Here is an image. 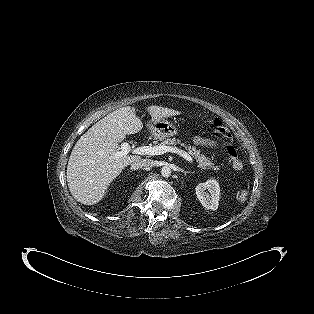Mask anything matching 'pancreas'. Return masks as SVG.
Returning a JSON list of instances; mask_svg holds the SVG:
<instances>
[{"label": "pancreas", "mask_w": 314, "mask_h": 314, "mask_svg": "<svg viewBox=\"0 0 314 314\" xmlns=\"http://www.w3.org/2000/svg\"><path fill=\"white\" fill-rule=\"evenodd\" d=\"M176 144H180L181 146H183L188 154H190L198 163V167L204 170H210V169H214V170H218V167L214 165V163L211 162V159L206 157V155L202 154L200 150L196 149L195 146H191L190 144H184V143H180L179 140H176L175 138H164L161 142V145H166V146H170V145H176Z\"/></svg>", "instance_id": "1"}]
</instances>
